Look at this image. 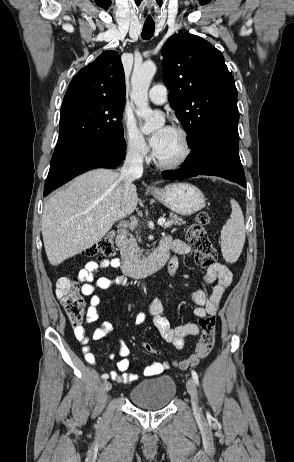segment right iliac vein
<instances>
[{
	"label": "right iliac vein",
	"mask_w": 294,
	"mask_h": 462,
	"mask_svg": "<svg viewBox=\"0 0 294 462\" xmlns=\"http://www.w3.org/2000/svg\"><path fill=\"white\" fill-rule=\"evenodd\" d=\"M103 385H104V390L106 392H109L111 390V388H112V384L110 382L105 381Z\"/></svg>",
	"instance_id": "obj_1"
}]
</instances>
